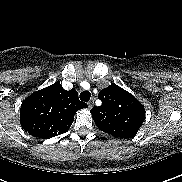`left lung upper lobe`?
Returning <instances> with one entry per match:
<instances>
[{"label":"left lung upper lobe","instance_id":"5c2ea615","mask_svg":"<svg viewBox=\"0 0 182 182\" xmlns=\"http://www.w3.org/2000/svg\"><path fill=\"white\" fill-rule=\"evenodd\" d=\"M98 98L102 105L91 109L97 127L114 137H134L145 120L144 106L116 84L101 90Z\"/></svg>","mask_w":182,"mask_h":182}]
</instances>
